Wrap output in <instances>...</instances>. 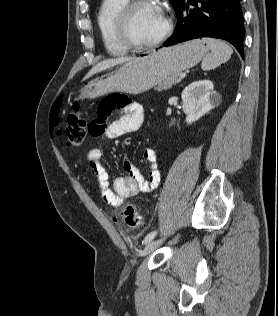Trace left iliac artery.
Instances as JSON below:
<instances>
[{
  "mask_svg": "<svg viewBox=\"0 0 278 316\" xmlns=\"http://www.w3.org/2000/svg\"><path fill=\"white\" fill-rule=\"evenodd\" d=\"M156 234H157L156 231H152V232L148 233L146 235V237L144 238L143 243L147 244L150 241H152L154 239V237L156 236Z\"/></svg>",
  "mask_w": 278,
  "mask_h": 316,
  "instance_id": "1",
  "label": "left iliac artery"
}]
</instances>
